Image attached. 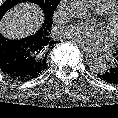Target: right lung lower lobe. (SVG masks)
I'll return each mask as SVG.
<instances>
[{
  "label": "right lung lower lobe",
  "mask_w": 118,
  "mask_h": 118,
  "mask_svg": "<svg viewBox=\"0 0 118 118\" xmlns=\"http://www.w3.org/2000/svg\"><path fill=\"white\" fill-rule=\"evenodd\" d=\"M33 37L9 40L0 33V71L10 79L27 81L38 76Z\"/></svg>",
  "instance_id": "1"
}]
</instances>
